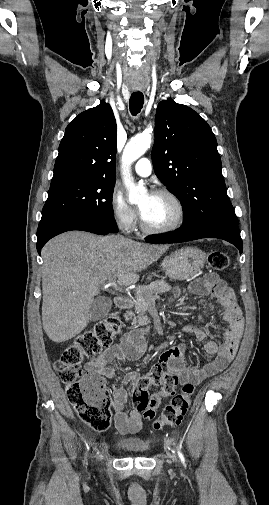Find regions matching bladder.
<instances>
[{
	"mask_svg": "<svg viewBox=\"0 0 269 505\" xmlns=\"http://www.w3.org/2000/svg\"><path fill=\"white\" fill-rule=\"evenodd\" d=\"M115 446L118 450L122 452L135 455H143L150 448L149 444L145 442L130 441V440L118 441L116 442Z\"/></svg>",
	"mask_w": 269,
	"mask_h": 505,
	"instance_id": "obj_1",
	"label": "bladder"
}]
</instances>
